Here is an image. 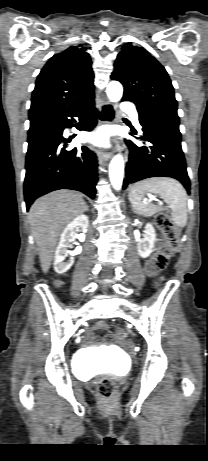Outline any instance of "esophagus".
Listing matches in <instances>:
<instances>
[{"label": "esophagus", "mask_w": 208, "mask_h": 461, "mask_svg": "<svg viewBox=\"0 0 208 461\" xmlns=\"http://www.w3.org/2000/svg\"><path fill=\"white\" fill-rule=\"evenodd\" d=\"M116 108L108 101L102 100L97 112V118L100 124L112 123L115 120ZM99 163L104 164L112 156V152L102 149L96 150Z\"/></svg>", "instance_id": "obj_1"}]
</instances>
